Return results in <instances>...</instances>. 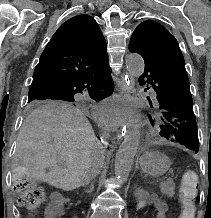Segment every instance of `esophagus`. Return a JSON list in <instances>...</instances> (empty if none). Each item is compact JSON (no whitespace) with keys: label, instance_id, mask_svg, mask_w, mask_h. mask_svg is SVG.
Masks as SVG:
<instances>
[{"label":"esophagus","instance_id":"obj_1","mask_svg":"<svg viewBox=\"0 0 211 218\" xmlns=\"http://www.w3.org/2000/svg\"><path fill=\"white\" fill-rule=\"evenodd\" d=\"M122 76L125 77V80L122 79L121 82L117 85L118 86V92L120 95L124 97H129L130 94H132V88L135 84L134 80L132 79V76H129L128 72H123ZM124 114H126L128 111L124 109L122 111ZM130 123H119L118 124V130L119 131H126L127 128H130ZM126 134L124 132H114L113 136L117 138V141L119 142L121 140V137H124Z\"/></svg>","mask_w":211,"mask_h":218}]
</instances>
